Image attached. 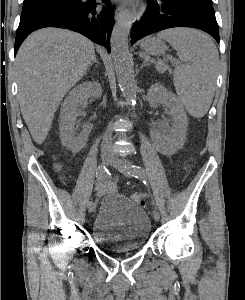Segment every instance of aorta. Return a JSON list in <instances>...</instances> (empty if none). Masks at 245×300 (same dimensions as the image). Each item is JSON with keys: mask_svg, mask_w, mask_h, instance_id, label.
Returning a JSON list of instances; mask_svg holds the SVG:
<instances>
[{"mask_svg": "<svg viewBox=\"0 0 245 300\" xmlns=\"http://www.w3.org/2000/svg\"><path fill=\"white\" fill-rule=\"evenodd\" d=\"M131 14L125 12L116 21L111 34V54L119 83L124 97L129 102H135L137 86L134 71L130 61L128 36L131 29Z\"/></svg>", "mask_w": 245, "mask_h": 300, "instance_id": "aorta-1", "label": "aorta"}]
</instances>
